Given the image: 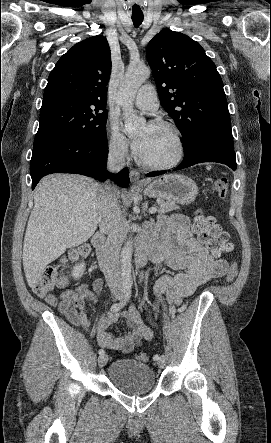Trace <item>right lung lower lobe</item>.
<instances>
[{
	"instance_id": "obj_1",
	"label": "right lung lower lobe",
	"mask_w": 271,
	"mask_h": 443,
	"mask_svg": "<svg viewBox=\"0 0 271 443\" xmlns=\"http://www.w3.org/2000/svg\"><path fill=\"white\" fill-rule=\"evenodd\" d=\"M107 155L106 134L90 141L58 135L42 138L34 143L30 162L32 189L43 176L51 173H76L104 181L110 177L106 171ZM114 180L119 186L127 187L128 169L121 170Z\"/></svg>"
}]
</instances>
